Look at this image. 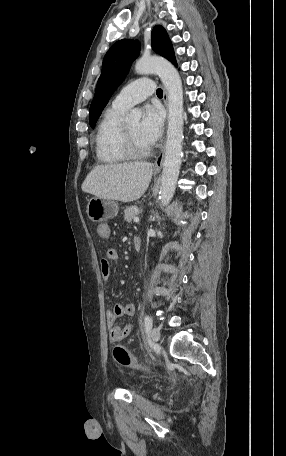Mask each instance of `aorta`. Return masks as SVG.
<instances>
[{"instance_id":"762f6f07","label":"aorta","mask_w":286,"mask_h":456,"mask_svg":"<svg viewBox=\"0 0 286 456\" xmlns=\"http://www.w3.org/2000/svg\"><path fill=\"white\" fill-rule=\"evenodd\" d=\"M137 74L157 73L167 90L168 128L159 198L163 206L172 200L180 172L183 142V87L176 68L160 57L140 58L135 64ZM141 111L134 109L126 116L128 122H138Z\"/></svg>"}]
</instances>
